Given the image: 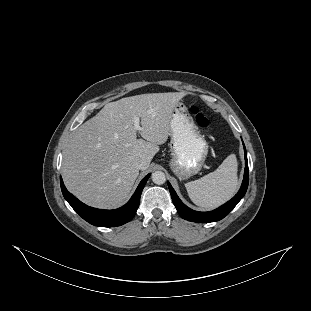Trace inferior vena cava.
<instances>
[{
    "label": "inferior vena cava",
    "instance_id": "inferior-vena-cava-1",
    "mask_svg": "<svg viewBox=\"0 0 311 311\" xmlns=\"http://www.w3.org/2000/svg\"><path fill=\"white\" fill-rule=\"evenodd\" d=\"M133 166H135L138 169H142L144 167V161L140 158L133 161Z\"/></svg>",
    "mask_w": 311,
    "mask_h": 311
}]
</instances>
